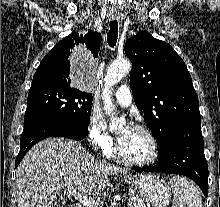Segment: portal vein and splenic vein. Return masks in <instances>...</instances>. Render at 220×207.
Returning a JSON list of instances; mask_svg holds the SVG:
<instances>
[{"label": "portal vein and splenic vein", "instance_id": "1", "mask_svg": "<svg viewBox=\"0 0 220 207\" xmlns=\"http://www.w3.org/2000/svg\"><path fill=\"white\" fill-rule=\"evenodd\" d=\"M67 190H68L69 195L79 200V202L82 203L84 207H100L99 203L96 200L92 198H88L87 196L78 193L74 186L68 185Z\"/></svg>", "mask_w": 220, "mask_h": 207}]
</instances>
